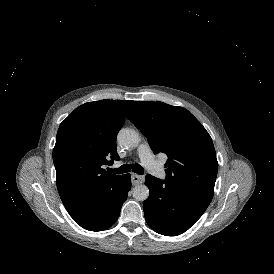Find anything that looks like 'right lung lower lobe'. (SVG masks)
<instances>
[{"label":"right lung lower lobe","mask_w":274,"mask_h":274,"mask_svg":"<svg viewBox=\"0 0 274 274\" xmlns=\"http://www.w3.org/2000/svg\"><path fill=\"white\" fill-rule=\"evenodd\" d=\"M130 188V174H124L105 187L92 203L69 214L78 225L89 231L108 229L118 219Z\"/></svg>","instance_id":"98d812e1"}]
</instances>
